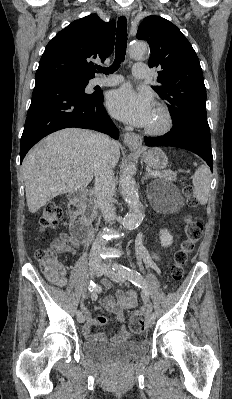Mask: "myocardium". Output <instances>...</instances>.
Segmentation results:
<instances>
[{
	"label": "myocardium",
	"instance_id": "f54148a6",
	"mask_svg": "<svg viewBox=\"0 0 232 399\" xmlns=\"http://www.w3.org/2000/svg\"><path fill=\"white\" fill-rule=\"evenodd\" d=\"M156 107L162 117V123L157 128L142 129L141 132L146 136L150 137L163 136L167 134L173 127L174 120L170 109L163 104H157Z\"/></svg>",
	"mask_w": 232,
	"mask_h": 399
}]
</instances>
